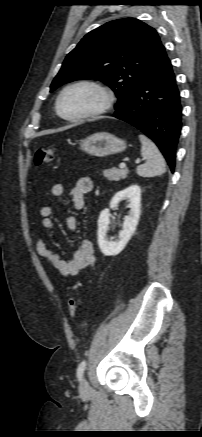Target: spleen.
Instances as JSON below:
<instances>
[{"mask_svg": "<svg viewBox=\"0 0 202 437\" xmlns=\"http://www.w3.org/2000/svg\"><path fill=\"white\" fill-rule=\"evenodd\" d=\"M141 156L146 160L142 165L137 166V174L141 177L160 176L166 172L165 160L157 146L145 135L140 134Z\"/></svg>", "mask_w": 202, "mask_h": 437, "instance_id": "obj_1", "label": "spleen"}]
</instances>
